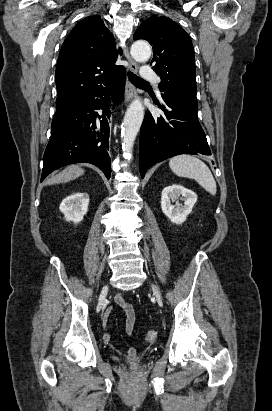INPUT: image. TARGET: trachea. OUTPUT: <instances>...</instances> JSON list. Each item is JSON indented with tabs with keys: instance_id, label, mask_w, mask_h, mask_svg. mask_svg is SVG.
Masks as SVG:
<instances>
[{
	"instance_id": "obj_1",
	"label": "trachea",
	"mask_w": 272,
	"mask_h": 411,
	"mask_svg": "<svg viewBox=\"0 0 272 411\" xmlns=\"http://www.w3.org/2000/svg\"><path fill=\"white\" fill-rule=\"evenodd\" d=\"M129 80L133 83V84H148L147 81L141 79L140 77H138L137 75H135L132 72H128L127 73Z\"/></svg>"
}]
</instances>
